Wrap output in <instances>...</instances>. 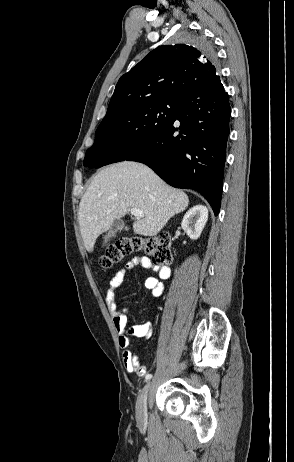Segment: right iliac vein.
I'll return each mask as SVG.
<instances>
[{"label": "right iliac vein", "instance_id": "1", "mask_svg": "<svg viewBox=\"0 0 294 462\" xmlns=\"http://www.w3.org/2000/svg\"><path fill=\"white\" fill-rule=\"evenodd\" d=\"M148 382L141 390L136 402V417L139 422H143L147 417V397L150 390Z\"/></svg>", "mask_w": 294, "mask_h": 462}]
</instances>
